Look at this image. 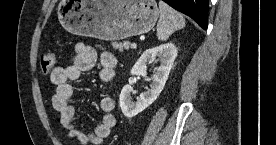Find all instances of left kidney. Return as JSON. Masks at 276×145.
<instances>
[{
	"label": "left kidney",
	"instance_id": "5707ae66",
	"mask_svg": "<svg viewBox=\"0 0 276 145\" xmlns=\"http://www.w3.org/2000/svg\"><path fill=\"white\" fill-rule=\"evenodd\" d=\"M177 57V48L173 43H166L147 49L143 52L131 69V75L146 77L148 63L156 58L160 61V66L152 77L150 89L141 93L137 101H133L131 94L134 89L131 84L125 85L120 94V107L127 118H132L150 106L162 92L168 79L170 70Z\"/></svg>",
	"mask_w": 276,
	"mask_h": 145
}]
</instances>
